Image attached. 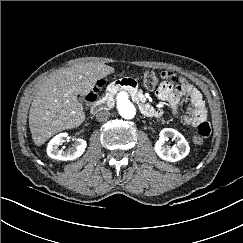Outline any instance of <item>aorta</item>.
Instances as JSON below:
<instances>
[{
	"label": "aorta",
	"mask_w": 243,
	"mask_h": 243,
	"mask_svg": "<svg viewBox=\"0 0 243 243\" xmlns=\"http://www.w3.org/2000/svg\"><path fill=\"white\" fill-rule=\"evenodd\" d=\"M118 111L125 119H132L136 115V109L129 94L126 91H120L118 96Z\"/></svg>",
	"instance_id": "1"
}]
</instances>
